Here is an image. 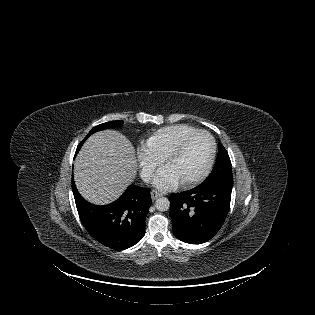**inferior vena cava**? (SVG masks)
Instances as JSON below:
<instances>
[{
  "instance_id": "1",
  "label": "inferior vena cava",
  "mask_w": 315,
  "mask_h": 315,
  "mask_svg": "<svg viewBox=\"0 0 315 315\" xmlns=\"http://www.w3.org/2000/svg\"><path fill=\"white\" fill-rule=\"evenodd\" d=\"M141 177L145 182H149L152 178V173L151 172H142Z\"/></svg>"
}]
</instances>
